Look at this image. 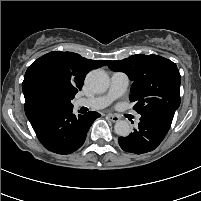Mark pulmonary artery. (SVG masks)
Wrapping results in <instances>:
<instances>
[{
	"label": "pulmonary artery",
	"instance_id": "pulmonary-artery-1",
	"mask_svg": "<svg viewBox=\"0 0 201 201\" xmlns=\"http://www.w3.org/2000/svg\"><path fill=\"white\" fill-rule=\"evenodd\" d=\"M128 85L129 78L125 73L114 72L110 78L109 89L105 94L88 99H78L76 104L77 106H85L94 110L103 109L122 96L126 92ZM137 121H139V118H137Z\"/></svg>",
	"mask_w": 201,
	"mask_h": 201
}]
</instances>
